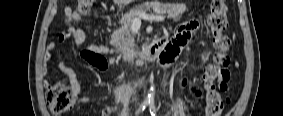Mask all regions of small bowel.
Segmentation results:
<instances>
[{"label":"small bowel","instance_id":"small-bowel-1","mask_svg":"<svg viewBox=\"0 0 283 116\" xmlns=\"http://www.w3.org/2000/svg\"><path fill=\"white\" fill-rule=\"evenodd\" d=\"M64 17L67 29L60 34L58 42L63 43L68 37H71L73 39L75 48L81 50L82 58L89 64L97 67L100 71H105L107 67L106 60L101 55L108 54L109 49L102 44L87 42L84 30L74 24L75 22H80L83 19L82 15L77 11L70 7H66L64 10ZM198 25V21L190 20L179 26L177 30V36L171 40L167 49L162 54V58L160 59L161 64L168 65L165 64V59L168 57L173 58L181 51L183 47L188 44ZM56 46V43H50L48 45L49 52L53 51ZM57 67L64 75L67 76L70 87L74 94L76 96L79 95L81 91V85L74 69L68 66L63 59L58 61ZM185 88L190 90L196 104L200 105L202 103L203 93L198 83L187 76L179 78L178 89L176 91L177 98L183 94ZM132 100L133 98L121 100L119 106L105 105L104 109L102 110V115L108 116L119 108L122 116H132L134 115L130 108Z\"/></svg>","mask_w":283,"mask_h":116}]
</instances>
